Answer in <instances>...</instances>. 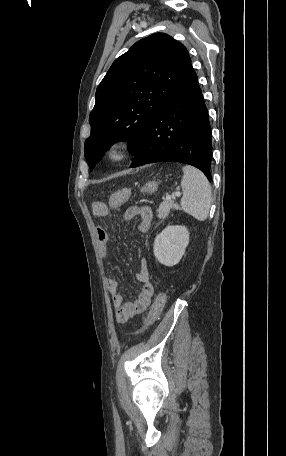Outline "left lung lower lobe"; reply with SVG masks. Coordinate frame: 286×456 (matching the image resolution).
I'll return each instance as SVG.
<instances>
[{"instance_id": "1", "label": "left lung lower lobe", "mask_w": 286, "mask_h": 456, "mask_svg": "<svg viewBox=\"0 0 286 456\" xmlns=\"http://www.w3.org/2000/svg\"><path fill=\"white\" fill-rule=\"evenodd\" d=\"M132 167L181 162L200 169L211 181V127L197 75L191 66L153 117L132 153Z\"/></svg>"}]
</instances>
